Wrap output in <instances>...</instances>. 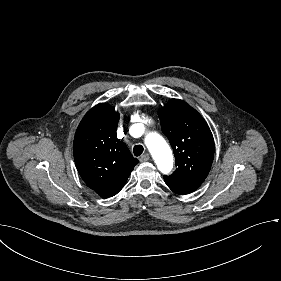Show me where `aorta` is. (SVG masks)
Segmentation results:
<instances>
[{
  "instance_id": "762f6f07",
  "label": "aorta",
  "mask_w": 281,
  "mask_h": 281,
  "mask_svg": "<svg viewBox=\"0 0 281 281\" xmlns=\"http://www.w3.org/2000/svg\"><path fill=\"white\" fill-rule=\"evenodd\" d=\"M145 144L158 169L162 173H169L173 167V155L164 138L157 133H150L145 138Z\"/></svg>"
}]
</instances>
